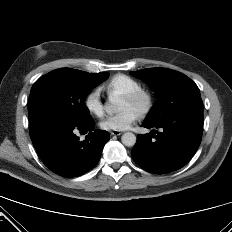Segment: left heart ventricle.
I'll return each instance as SVG.
<instances>
[{"label":"left heart ventricle","mask_w":232,"mask_h":232,"mask_svg":"<svg viewBox=\"0 0 232 232\" xmlns=\"http://www.w3.org/2000/svg\"><path fill=\"white\" fill-rule=\"evenodd\" d=\"M126 109H134L137 111V106L131 102H129L126 99H122L121 105H120V110H126Z\"/></svg>","instance_id":"1"}]
</instances>
